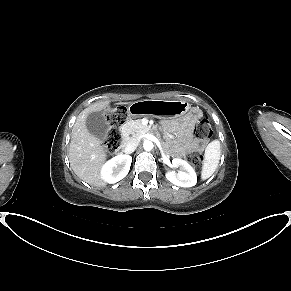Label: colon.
<instances>
[{
	"instance_id": "5ec220e1",
	"label": "colon",
	"mask_w": 291,
	"mask_h": 291,
	"mask_svg": "<svg viewBox=\"0 0 291 291\" xmlns=\"http://www.w3.org/2000/svg\"><path fill=\"white\" fill-rule=\"evenodd\" d=\"M105 116L110 127L106 133L104 145L109 152H115L119 144L122 143L119 128L127 121L128 110L122 106L109 108ZM211 132L210 120L206 117L200 119L193 129V135L198 142H205L210 137ZM187 158L194 166L200 167L203 155L199 151H192Z\"/></svg>"
}]
</instances>
